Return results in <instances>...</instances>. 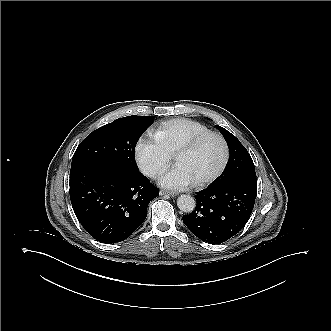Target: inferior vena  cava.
Listing matches in <instances>:
<instances>
[{
  "label": "inferior vena cava",
  "instance_id": "obj_1",
  "mask_svg": "<svg viewBox=\"0 0 331 331\" xmlns=\"http://www.w3.org/2000/svg\"><path fill=\"white\" fill-rule=\"evenodd\" d=\"M156 173H157V171H155V170H148L147 171V175H149V176H155L156 175Z\"/></svg>",
  "mask_w": 331,
  "mask_h": 331
}]
</instances>
